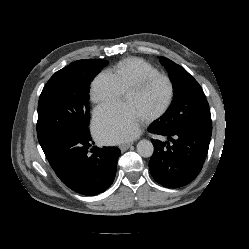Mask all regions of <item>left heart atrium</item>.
Segmentation results:
<instances>
[{"label": "left heart atrium", "instance_id": "left-heart-atrium-1", "mask_svg": "<svg viewBox=\"0 0 249 249\" xmlns=\"http://www.w3.org/2000/svg\"><path fill=\"white\" fill-rule=\"evenodd\" d=\"M141 118L127 104L112 103L94 112L93 131L103 143L117 144L138 135Z\"/></svg>", "mask_w": 249, "mask_h": 249}]
</instances>
